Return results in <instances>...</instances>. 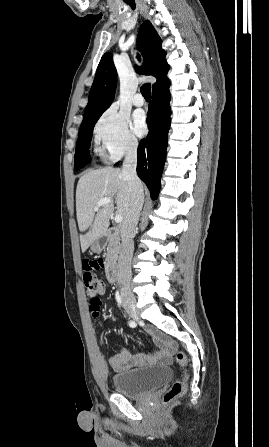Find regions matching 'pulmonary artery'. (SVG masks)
<instances>
[{
  "label": "pulmonary artery",
  "mask_w": 269,
  "mask_h": 447,
  "mask_svg": "<svg viewBox=\"0 0 269 447\" xmlns=\"http://www.w3.org/2000/svg\"><path fill=\"white\" fill-rule=\"evenodd\" d=\"M132 102L137 107L143 106L145 104L144 97L141 94H135L132 98Z\"/></svg>",
  "instance_id": "pulmonary-artery-1"
}]
</instances>
